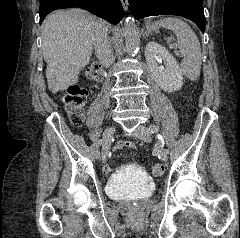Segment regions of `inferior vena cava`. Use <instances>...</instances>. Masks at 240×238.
Segmentation results:
<instances>
[{
  "mask_svg": "<svg viewBox=\"0 0 240 238\" xmlns=\"http://www.w3.org/2000/svg\"><path fill=\"white\" fill-rule=\"evenodd\" d=\"M92 43L100 63L105 67H109L113 63V60L108 27L98 25L92 34Z\"/></svg>",
  "mask_w": 240,
  "mask_h": 238,
  "instance_id": "inferior-vena-cava-1",
  "label": "inferior vena cava"
}]
</instances>
